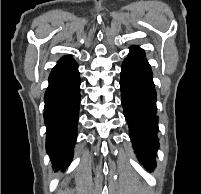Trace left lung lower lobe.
Here are the masks:
<instances>
[{"mask_svg": "<svg viewBox=\"0 0 201 194\" xmlns=\"http://www.w3.org/2000/svg\"><path fill=\"white\" fill-rule=\"evenodd\" d=\"M121 98L129 136L142 165L152 171L159 148L157 93L144 50L132 46L121 66Z\"/></svg>", "mask_w": 201, "mask_h": 194, "instance_id": "left-lung-lower-lobe-1", "label": "left lung lower lobe"}]
</instances>
